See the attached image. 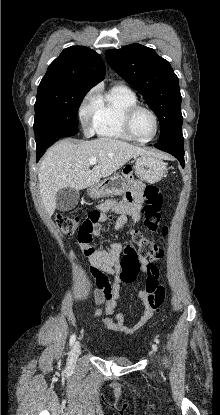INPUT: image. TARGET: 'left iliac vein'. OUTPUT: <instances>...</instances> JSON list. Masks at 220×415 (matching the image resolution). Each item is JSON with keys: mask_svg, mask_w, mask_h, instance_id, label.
Listing matches in <instances>:
<instances>
[{"mask_svg": "<svg viewBox=\"0 0 220 415\" xmlns=\"http://www.w3.org/2000/svg\"><path fill=\"white\" fill-rule=\"evenodd\" d=\"M152 351H153V352H156V351H157V345H156V344H153V345H152Z\"/></svg>", "mask_w": 220, "mask_h": 415, "instance_id": "left-iliac-vein-1", "label": "left iliac vein"}]
</instances>
